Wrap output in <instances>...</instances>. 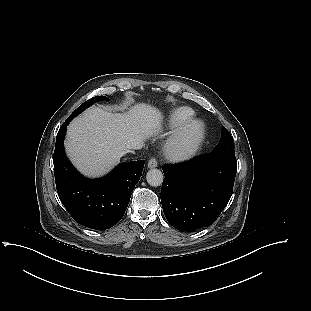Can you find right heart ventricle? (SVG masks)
Returning <instances> with one entry per match:
<instances>
[{"label": "right heart ventricle", "mask_w": 311, "mask_h": 311, "mask_svg": "<svg viewBox=\"0 0 311 311\" xmlns=\"http://www.w3.org/2000/svg\"><path fill=\"white\" fill-rule=\"evenodd\" d=\"M195 112L186 106H180L173 109L167 120V129L174 130L179 127L181 124L193 118Z\"/></svg>", "instance_id": "1"}]
</instances>
